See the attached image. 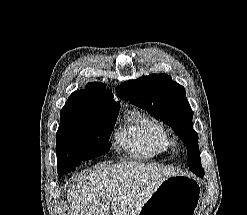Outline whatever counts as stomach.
<instances>
[{
    "label": "stomach",
    "instance_id": "0dacf381",
    "mask_svg": "<svg viewBox=\"0 0 247 215\" xmlns=\"http://www.w3.org/2000/svg\"><path fill=\"white\" fill-rule=\"evenodd\" d=\"M201 197L199 184L182 174L165 179L137 215H195Z\"/></svg>",
    "mask_w": 247,
    "mask_h": 215
}]
</instances>
